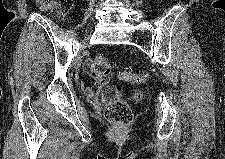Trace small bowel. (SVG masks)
I'll use <instances>...</instances> for the list:
<instances>
[{"label": "small bowel", "instance_id": "obj_1", "mask_svg": "<svg viewBox=\"0 0 225 159\" xmlns=\"http://www.w3.org/2000/svg\"><path fill=\"white\" fill-rule=\"evenodd\" d=\"M85 67L87 69H92V62L87 61L85 63ZM100 81L101 80H98V82L95 85H92V86H87L83 81H80L79 86L85 93H87L89 95H93L97 91L98 86L100 84Z\"/></svg>", "mask_w": 225, "mask_h": 159}]
</instances>
